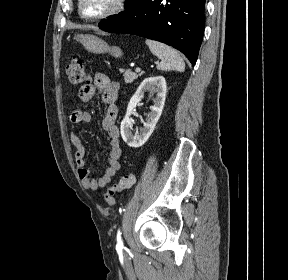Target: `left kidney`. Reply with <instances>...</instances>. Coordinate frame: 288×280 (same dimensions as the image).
Listing matches in <instances>:
<instances>
[{
    "instance_id": "1",
    "label": "left kidney",
    "mask_w": 288,
    "mask_h": 280,
    "mask_svg": "<svg viewBox=\"0 0 288 280\" xmlns=\"http://www.w3.org/2000/svg\"><path fill=\"white\" fill-rule=\"evenodd\" d=\"M147 90H149L152 94L156 93L154 105L150 106L151 111L148 114L146 121H142L143 128L140 130V133L133 135V119L130 116ZM166 90V80L162 76L149 77L142 81L137 91L130 99L127 106L126 115L121 122V136L128 146L133 148L141 147L151 136L164 107Z\"/></svg>"
}]
</instances>
